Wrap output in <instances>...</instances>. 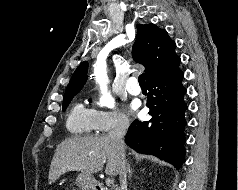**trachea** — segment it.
Segmentation results:
<instances>
[{
    "mask_svg": "<svg viewBox=\"0 0 238 190\" xmlns=\"http://www.w3.org/2000/svg\"><path fill=\"white\" fill-rule=\"evenodd\" d=\"M138 81H139V85H140L141 87H142V86H146L144 74H141V75L138 77Z\"/></svg>",
    "mask_w": 238,
    "mask_h": 190,
    "instance_id": "3493384b",
    "label": "trachea"
}]
</instances>
